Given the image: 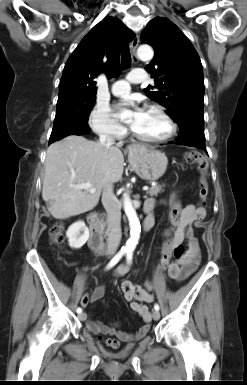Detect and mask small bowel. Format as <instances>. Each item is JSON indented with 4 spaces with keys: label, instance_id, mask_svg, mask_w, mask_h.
Here are the masks:
<instances>
[{
    "label": "small bowel",
    "instance_id": "obj_1",
    "mask_svg": "<svg viewBox=\"0 0 247 385\" xmlns=\"http://www.w3.org/2000/svg\"><path fill=\"white\" fill-rule=\"evenodd\" d=\"M169 205L171 208L169 225L162 232V236L165 238V245L163 247L160 268L165 257L171 256L173 250L186 239L187 251L184 256L175 261L170 260L166 268L170 279L183 281L195 272L200 262V245L195 235L194 227H202L206 210L200 204L182 206L174 197L169 200ZM155 206L156 202L153 199L146 200L144 208L148 215H153ZM128 271V265L123 264L116 269L114 275L116 277H122L126 275ZM126 284L132 285L133 291L137 290L139 293L135 295L133 291L130 293L124 292L125 299L129 302L130 308L137 313L143 321V325L136 332L130 333L121 330L117 324H105L100 321L87 320L88 329L96 335L107 337L104 342L112 348H118L120 342H132L143 338L151 326L152 318L147 303H151L155 299V296L150 293V290L154 286L153 283L148 282L140 286L131 282H125L123 286ZM104 294L105 285L100 284L93 292L84 294L80 303L83 307H87L89 304L100 300Z\"/></svg>",
    "mask_w": 247,
    "mask_h": 385
}]
</instances>
